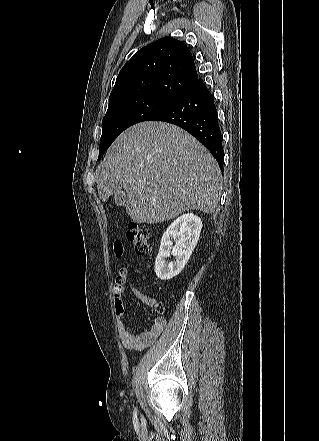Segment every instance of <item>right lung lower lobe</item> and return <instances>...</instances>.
I'll return each mask as SVG.
<instances>
[{
	"mask_svg": "<svg viewBox=\"0 0 319 441\" xmlns=\"http://www.w3.org/2000/svg\"><path fill=\"white\" fill-rule=\"evenodd\" d=\"M147 121H163L183 128L211 152L223 169L222 134L214 97L201 79L188 85Z\"/></svg>",
	"mask_w": 319,
	"mask_h": 441,
	"instance_id": "obj_1",
	"label": "right lung lower lobe"
}]
</instances>
